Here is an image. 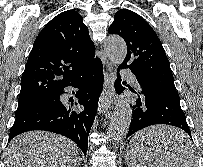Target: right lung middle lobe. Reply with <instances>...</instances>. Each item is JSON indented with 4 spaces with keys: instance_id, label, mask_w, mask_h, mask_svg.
Segmentation results:
<instances>
[{
    "instance_id": "dd1d6c3e",
    "label": "right lung middle lobe",
    "mask_w": 203,
    "mask_h": 167,
    "mask_svg": "<svg viewBox=\"0 0 203 167\" xmlns=\"http://www.w3.org/2000/svg\"><path fill=\"white\" fill-rule=\"evenodd\" d=\"M53 99H54V97L48 98V99H44V100L38 101V102H36L34 104H30V105L18 106L16 114H18V113H20V112H22L24 110L36 107V106H41V105L50 103V102L53 101Z\"/></svg>"
}]
</instances>
